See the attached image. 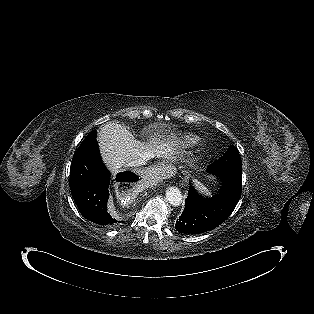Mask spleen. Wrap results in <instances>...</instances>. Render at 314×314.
Wrapping results in <instances>:
<instances>
[{"instance_id": "obj_1", "label": "spleen", "mask_w": 314, "mask_h": 314, "mask_svg": "<svg viewBox=\"0 0 314 314\" xmlns=\"http://www.w3.org/2000/svg\"><path fill=\"white\" fill-rule=\"evenodd\" d=\"M195 185L200 192L205 193L206 195L209 194L208 190L200 182L195 181Z\"/></svg>"}]
</instances>
